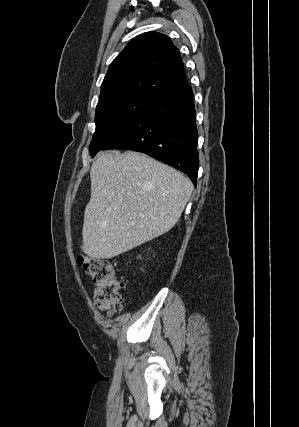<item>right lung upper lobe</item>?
<instances>
[{
    "mask_svg": "<svg viewBox=\"0 0 299 427\" xmlns=\"http://www.w3.org/2000/svg\"><path fill=\"white\" fill-rule=\"evenodd\" d=\"M186 85L177 48L168 36L149 32L130 41L110 64L99 101L117 95L155 100Z\"/></svg>",
    "mask_w": 299,
    "mask_h": 427,
    "instance_id": "right-lung-upper-lobe-1",
    "label": "right lung upper lobe"
}]
</instances>
